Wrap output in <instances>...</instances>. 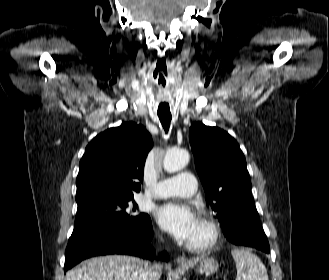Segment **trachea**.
<instances>
[{
    "mask_svg": "<svg viewBox=\"0 0 329 280\" xmlns=\"http://www.w3.org/2000/svg\"><path fill=\"white\" fill-rule=\"evenodd\" d=\"M158 117L160 119V122L165 130V132L167 133L170 127V122L172 119L171 114H163V113H158Z\"/></svg>",
    "mask_w": 329,
    "mask_h": 280,
    "instance_id": "trachea-1",
    "label": "trachea"
}]
</instances>
